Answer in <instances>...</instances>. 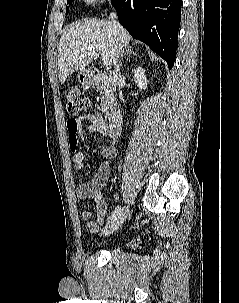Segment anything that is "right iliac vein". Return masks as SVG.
<instances>
[{
  "mask_svg": "<svg viewBox=\"0 0 239 303\" xmlns=\"http://www.w3.org/2000/svg\"><path fill=\"white\" fill-rule=\"evenodd\" d=\"M128 214L129 209L123 208L116 217L112 218V220L104 226V228L102 229V235L108 236L112 234L115 230H117L125 221Z\"/></svg>",
  "mask_w": 239,
  "mask_h": 303,
  "instance_id": "63e3f726",
  "label": "right iliac vein"
}]
</instances>
